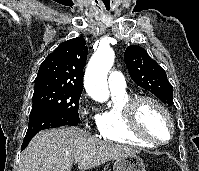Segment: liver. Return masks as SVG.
<instances>
[{
    "label": "liver",
    "mask_w": 199,
    "mask_h": 171,
    "mask_svg": "<svg viewBox=\"0 0 199 171\" xmlns=\"http://www.w3.org/2000/svg\"><path fill=\"white\" fill-rule=\"evenodd\" d=\"M139 151L100 140L71 126L39 132L22 152L18 171H71L78 160L80 170H89L105 162Z\"/></svg>",
    "instance_id": "liver-1"
}]
</instances>
